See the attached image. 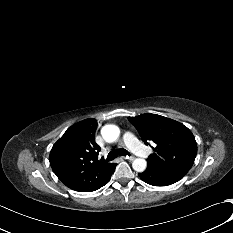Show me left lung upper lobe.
<instances>
[{
	"label": "left lung upper lobe",
	"mask_w": 233,
	"mask_h": 233,
	"mask_svg": "<svg viewBox=\"0 0 233 233\" xmlns=\"http://www.w3.org/2000/svg\"><path fill=\"white\" fill-rule=\"evenodd\" d=\"M128 120L145 144H156L155 152L147 159L148 166L177 180L187 174L197 154V143L186 126L150 113L128 117Z\"/></svg>",
	"instance_id": "left-lung-upper-lobe-1"
}]
</instances>
